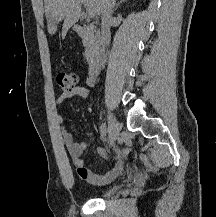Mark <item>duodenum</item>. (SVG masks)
I'll return each mask as SVG.
<instances>
[{
    "mask_svg": "<svg viewBox=\"0 0 216 217\" xmlns=\"http://www.w3.org/2000/svg\"><path fill=\"white\" fill-rule=\"evenodd\" d=\"M75 30L82 35L88 33L89 31L88 28L79 24L75 25ZM92 49V52L88 56L89 73L90 75H96L105 61L106 46L103 42L94 43L92 45Z\"/></svg>",
    "mask_w": 216,
    "mask_h": 217,
    "instance_id": "duodenum-1",
    "label": "duodenum"
}]
</instances>
